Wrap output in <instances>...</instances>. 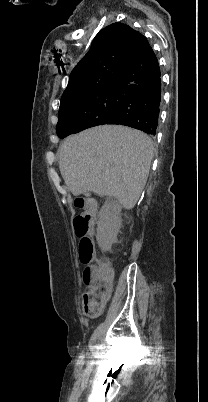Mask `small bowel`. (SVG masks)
Returning <instances> with one entry per match:
<instances>
[{"label": "small bowel", "mask_w": 208, "mask_h": 402, "mask_svg": "<svg viewBox=\"0 0 208 402\" xmlns=\"http://www.w3.org/2000/svg\"><path fill=\"white\" fill-rule=\"evenodd\" d=\"M84 273H87V269L84 271ZM95 296L99 297L101 300L107 303L111 299L112 295H95Z\"/></svg>", "instance_id": "1"}]
</instances>
